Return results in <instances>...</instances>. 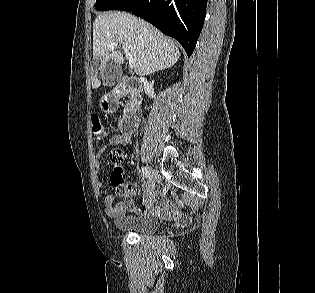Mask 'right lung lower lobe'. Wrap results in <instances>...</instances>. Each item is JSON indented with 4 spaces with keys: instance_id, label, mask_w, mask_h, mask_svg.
Here are the masks:
<instances>
[{
    "instance_id": "1",
    "label": "right lung lower lobe",
    "mask_w": 315,
    "mask_h": 293,
    "mask_svg": "<svg viewBox=\"0 0 315 293\" xmlns=\"http://www.w3.org/2000/svg\"><path fill=\"white\" fill-rule=\"evenodd\" d=\"M207 0H122L113 9L131 11L174 37L188 57L193 53L205 19Z\"/></svg>"
}]
</instances>
